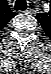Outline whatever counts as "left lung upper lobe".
Returning <instances> with one entry per match:
<instances>
[{"instance_id": "obj_1", "label": "left lung upper lobe", "mask_w": 51, "mask_h": 74, "mask_svg": "<svg viewBox=\"0 0 51 74\" xmlns=\"http://www.w3.org/2000/svg\"><path fill=\"white\" fill-rule=\"evenodd\" d=\"M36 19L42 24L43 26V22H44V15L43 14H39L36 16Z\"/></svg>"}]
</instances>
